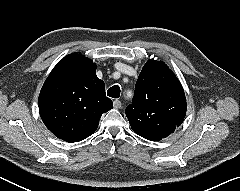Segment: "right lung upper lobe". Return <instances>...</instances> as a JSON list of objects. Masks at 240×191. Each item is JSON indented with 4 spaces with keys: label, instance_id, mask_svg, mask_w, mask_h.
I'll list each match as a JSON object with an SVG mask.
<instances>
[{
    "label": "right lung upper lobe",
    "instance_id": "1",
    "mask_svg": "<svg viewBox=\"0 0 240 191\" xmlns=\"http://www.w3.org/2000/svg\"><path fill=\"white\" fill-rule=\"evenodd\" d=\"M113 108L96 65L80 53L64 57L45 80L39 112L46 127L58 138L79 142L92 135L103 113Z\"/></svg>",
    "mask_w": 240,
    "mask_h": 191
}]
</instances>
